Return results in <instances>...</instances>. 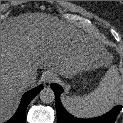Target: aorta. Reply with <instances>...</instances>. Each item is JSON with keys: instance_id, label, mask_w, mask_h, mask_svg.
I'll list each match as a JSON object with an SVG mask.
<instances>
[{"instance_id": "obj_1", "label": "aorta", "mask_w": 123, "mask_h": 123, "mask_svg": "<svg viewBox=\"0 0 123 123\" xmlns=\"http://www.w3.org/2000/svg\"><path fill=\"white\" fill-rule=\"evenodd\" d=\"M39 97L43 103H51L55 99V94L50 87H47L40 91Z\"/></svg>"}]
</instances>
